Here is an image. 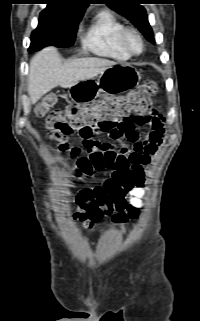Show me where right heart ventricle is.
I'll use <instances>...</instances> for the list:
<instances>
[{"label":"right heart ventricle","instance_id":"1","mask_svg":"<svg viewBox=\"0 0 200 321\" xmlns=\"http://www.w3.org/2000/svg\"><path fill=\"white\" fill-rule=\"evenodd\" d=\"M124 27V23L114 13L107 9L100 10L83 34L82 45L98 56L128 60L130 55L119 44V34Z\"/></svg>","mask_w":200,"mask_h":321}]
</instances>
